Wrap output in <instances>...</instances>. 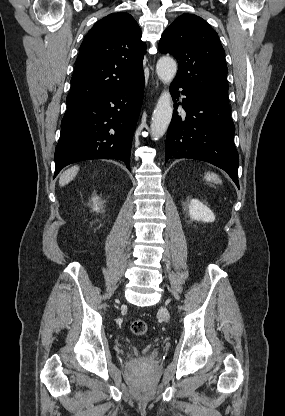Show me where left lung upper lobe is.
Instances as JSON below:
<instances>
[{
    "instance_id": "left-lung-upper-lobe-1",
    "label": "left lung upper lobe",
    "mask_w": 285,
    "mask_h": 416,
    "mask_svg": "<svg viewBox=\"0 0 285 416\" xmlns=\"http://www.w3.org/2000/svg\"><path fill=\"white\" fill-rule=\"evenodd\" d=\"M159 51L178 61L174 82L201 97L228 103L225 52L204 19L188 13L176 18L162 34Z\"/></svg>"
}]
</instances>
